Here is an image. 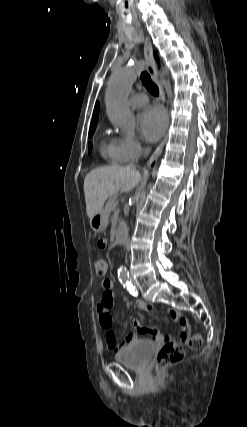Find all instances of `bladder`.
Returning <instances> with one entry per match:
<instances>
[{
    "mask_svg": "<svg viewBox=\"0 0 247 427\" xmlns=\"http://www.w3.org/2000/svg\"><path fill=\"white\" fill-rule=\"evenodd\" d=\"M156 349L154 342L149 340H138L115 354V360L130 369L144 368Z\"/></svg>",
    "mask_w": 247,
    "mask_h": 427,
    "instance_id": "1",
    "label": "bladder"
}]
</instances>
